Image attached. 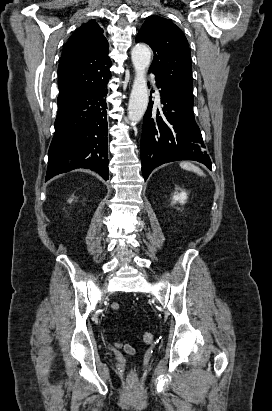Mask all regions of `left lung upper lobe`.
<instances>
[{
	"instance_id": "1",
	"label": "left lung upper lobe",
	"mask_w": 272,
	"mask_h": 411,
	"mask_svg": "<svg viewBox=\"0 0 272 411\" xmlns=\"http://www.w3.org/2000/svg\"><path fill=\"white\" fill-rule=\"evenodd\" d=\"M136 42L152 48L154 59L149 72L155 80L193 100L191 53L183 32L171 21L151 16L138 32Z\"/></svg>"
}]
</instances>
